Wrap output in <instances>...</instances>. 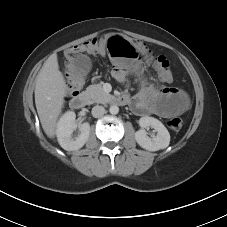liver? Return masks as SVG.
<instances>
[{"label": "liver", "mask_w": 227, "mask_h": 227, "mask_svg": "<svg viewBox=\"0 0 227 227\" xmlns=\"http://www.w3.org/2000/svg\"><path fill=\"white\" fill-rule=\"evenodd\" d=\"M67 90L57 56L52 54L40 69L35 86L36 109L42 128L49 138L56 135L57 120L62 112Z\"/></svg>", "instance_id": "6515ba94"}]
</instances>
